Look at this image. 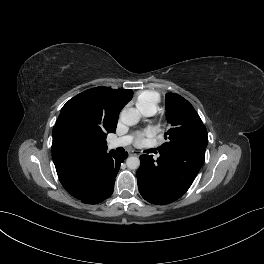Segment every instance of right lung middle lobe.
<instances>
[{
  "label": "right lung middle lobe",
  "instance_id": "dd1d6c3e",
  "mask_svg": "<svg viewBox=\"0 0 264 264\" xmlns=\"http://www.w3.org/2000/svg\"><path fill=\"white\" fill-rule=\"evenodd\" d=\"M55 126L75 143H106V136L98 133L90 123L87 103L82 99L68 101L61 109Z\"/></svg>",
  "mask_w": 264,
  "mask_h": 264
}]
</instances>
